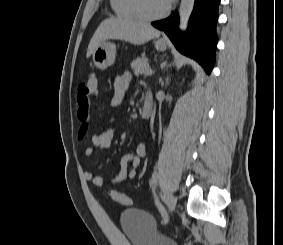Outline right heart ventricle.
I'll return each instance as SVG.
<instances>
[{
  "label": "right heart ventricle",
  "mask_w": 283,
  "mask_h": 245,
  "mask_svg": "<svg viewBox=\"0 0 283 245\" xmlns=\"http://www.w3.org/2000/svg\"><path fill=\"white\" fill-rule=\"evenodd\" d=\"M111 8L114 13L123 18H138L134 7L133 0H110Z\"/></svg>",
  "instance_id": "obj_1"
}]
</instances>
